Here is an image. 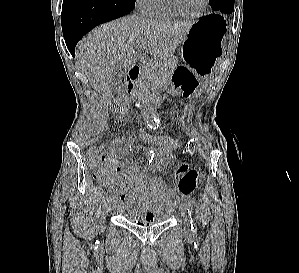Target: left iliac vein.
I'll use <instances>...</instances> for the list:
<instances>
[{
    "instance_id": "1",
    "label": "left iliac vein",
    "mask_w": 299,
    "mask_h": 273,
    "mask_svg": "<svg viewBox=\"0 0 299 273\" xmlns=\"http://www.w3.org/2000/svg\"><path fill=\"white\" fill-rule=\"evenodd\" d=\"M180 212H181V215L184 219V231H185V234L187 236H190L191 235V228H190V222H189V212L186 208L185 205H181L180 206Z\"/></svg>"
}]
</instances>
